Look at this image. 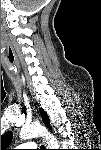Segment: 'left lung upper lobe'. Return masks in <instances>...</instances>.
I'll list each match as a JSON object with an SVG mask.
<instances>
[{"label":"left lung upper lobe","instance_id":"1","mask_svg":"<svg viewBox=\"0 0 101 150\" xmlns=\"http://www.w3.org/2000/svg\"><path fill=\"white\" fill-rule=\"evenodd\" d=\"M40 113H41L42 120L45 123V125L49 129H51L50 120H49L47 113L43 109H40ZM12 137H13V134L11 132H7L1 137V148H2V150H6V148L10 145V143L12 141Z\"/></svg>","mask_w":101,"mask_h":150}]
</instances>
